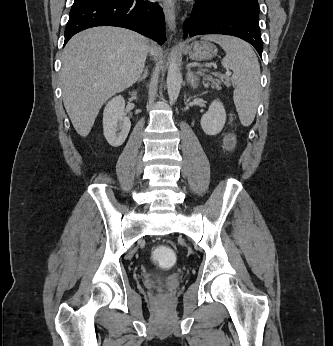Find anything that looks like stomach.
Segmentation results:
<instances>
[{"label": "stomach", "instance_id": "obj_1", "mask_svg": "<svg viewBox=\"0 0 333 346\" xmlns=\"http://www.w3.org/2000/svg\"><path fill=\"white\" fill-rule=\"evenodd\" d=\"M184 52L192 60L207 61L217 55V48L208 41H195L186 45Z\"/></svg>", "mask_w": 333, "mask_h": 346}]
</instances>
